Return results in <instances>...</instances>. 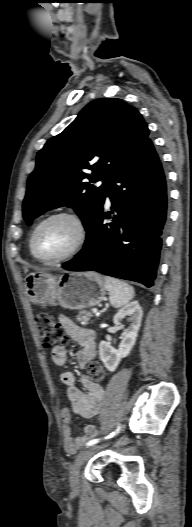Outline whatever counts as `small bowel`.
I'll return each instance as SVG.
<instances>
[{"instance_id":"obj_1","label":"small bowel","mask_w":192,"mask_h":527,"mask_svg":"<svg viewBox=\"0 0 192 527\" xmlns=\"http://www.w3.org/2000/svg\"><path fill=\"white\" fill-rule=\"evenodd\" d=\"M59 323L64 328L68 337L81 345V350L76 355L77 364L80 368H85L87 364L96 356V337L91 329L83 328L75 324L68 317L59 316ZM52 360L57 366H63L67 360V350L64 346L52 348ZM60 381L67 387L66 398L70 404L69 408H64L61 412L63 421L64 448L67 452H74L81 448L86 440L95 434L93 426H87L83 435L71 436L72 414H76L83 419L96 417L101 409L104 397V388L100 384L91 382L87 376H81V383L84 390L76 385V377L71 371H63L59 375Z\"/></svg>"}]
</instances>
